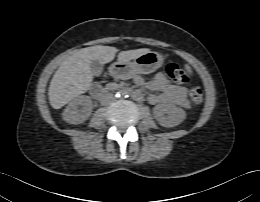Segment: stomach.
Segmentation results:
<instances>
[{
  "mask_svg": "<svg viewBox=\"0 0 260 202\" xmlns=\"http://www.w3.org/2000/svg\"><path fill=\"white\" fill-rule=\"evenodd\" d=\"M163 57L157 52H147L132 62H117L113 66L112 74L119 79H129L135 74H149L161 67Z\"/></svg>",
  "mask_w": 260,
  "mask_h": 202,
  "instance_id": "0dacf381",
  "label": "stomach"
}]
</instances>
